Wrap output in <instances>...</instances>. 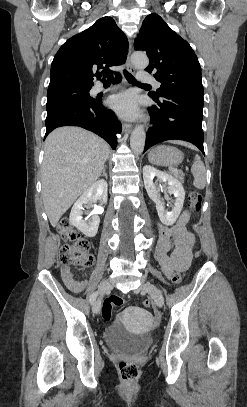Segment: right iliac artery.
Segmentation results:
<instances>
[{
  "instance_id": "right-iliac-artery-1",
  "label": "right iliac artery",
  "mask_w": 247,
  "mask_h": 407,
  "mask_svg": "<svg viewBox=\"0 0 247 407\" xmlns=\"http://www.w3.org/2000/svg\"><path fill=\"white\" fill-rule=\"evenodd\" d=\"M99 295V291H95L92 293V295L90 296V304L93 305L95 303V300L97 298V296Z\"/></svg>"
}]
</instances>
